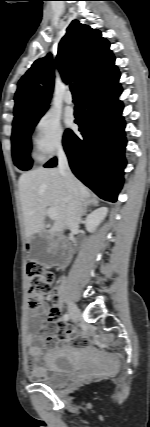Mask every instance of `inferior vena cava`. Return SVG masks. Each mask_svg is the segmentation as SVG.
Segmentation results:
<instances>
[{"instance_id":"602c4592","label":"inferior vena cava","mask_w":150,"mask_h":427,"mask_svg":"<svg viewBox=\"0 0 150 427\" xmlns=\"http://www.w3.org/2000/svg\"><path fill=\"white\" fill-rule=\"evenodd\" d=\"M58 156V169L62 177L64 178L68 196H67V213H66V225L72 226L78 224L81 220V216L84 208V200L79 196L76 185L75 178L72 175L70 170L67 156L62 148L59 146L57 150Z\"/></svg>"}]
</instances>
